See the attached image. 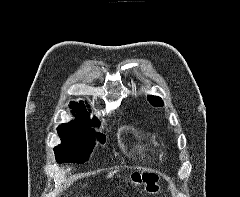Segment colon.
Listing matches in <instances>:
<instances>
[{"mask_svg":"<svg viewBox=\"0 0 240 197\" xmlns=\"http://www.w3.org/2000/svg\"><path fill=\"white\" fill-rule=\"evenodd\" d=\"M130 181L135 184H144L150 193H155L159 190V177L153 173L134 174L130 177Z\"/></svg>","mask_w":240,"mask_h":197,"instance_id":"colon-1","label":"colon"}]
</instances>
